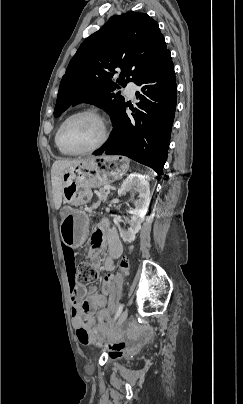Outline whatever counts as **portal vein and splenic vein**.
Here are the masks:
<instances>
[{
	"mask_svg": "<svg viewBox=\"0 0 243 404\" xmlns=\"http://www.w3.org/2000/svg\"><path fill=\"white\" fill-rule=\"evenodd\" d=\"M111 186H104V190H110Z\"/></svg>",
	"mask_w": 243,
	"mask_h": 404,
	"instance_id": "obj_1",
	"label": "portal vein and splenic vein"
}]
</instances>
